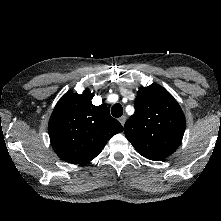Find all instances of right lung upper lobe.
I'll use <instances>...</instances> for the list:
<instances>
[{
	"instance_id": "cb5924a9",
	"label": "right lung upper lobe",
	"mask_w": 221,
	"mask_h": 221,
	"mask_svg": "<svg viewBox=\"0 0 221 221\" xmlns=\"http://www.w3.org/2000/svg\"><path fill=\"white\" fill-rule=\"evenodd\" d=\"M94 94L66 93L55 106L48 130L56 154L68 163L84 164L95 158L107 141L122 132L106 105L94 106Z\"/></svg>"
}]
</instances>
